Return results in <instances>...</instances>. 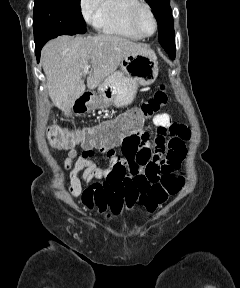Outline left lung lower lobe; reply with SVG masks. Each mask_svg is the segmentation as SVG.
I'll return each mask as SVG.
<instances>
[{
	"instance_id": "1",
	"label": "left lung lower lobe",
	"mask_w": 240,
	"mask_h": 288,
	"mask_svg": "<svg viewBox=\"0 0 240 288\" xmlns=\"http://www.w3.org/2000/svg\"><path fill=\"white\" fill-rule=\"evenodd\" d=\"M166 52L174 59L175 58V52L174 51H167Z\"/></svg>"
}]
</instances>
